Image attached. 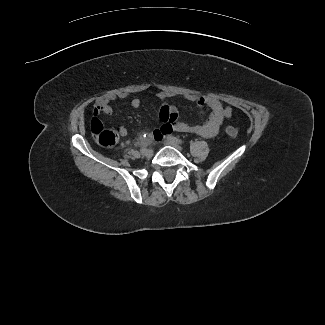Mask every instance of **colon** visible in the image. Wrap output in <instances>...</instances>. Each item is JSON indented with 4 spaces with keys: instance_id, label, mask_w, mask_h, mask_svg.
Listing matches in <instances>:
<instances>
[{
    "instance_id": "5ec220e1",
    "label": "colon",
    "mask_w": 325,
    "mask_h": 325,
    "mask_svg": "<svg viewBox=\"0 0 325 325\" xmlns=\"http://www.w3.org/2000/svg\"><path fill=\"white\" fill-rule=\"evenodd\" d=\"M90 126L92 136L98 144L104 147L115 145L118 139L117 131L106 129L97 117L91 119ZM226 133L231 137H235L238 134V130L233 126H227Z\"/></svg>"
}]
</instances>
